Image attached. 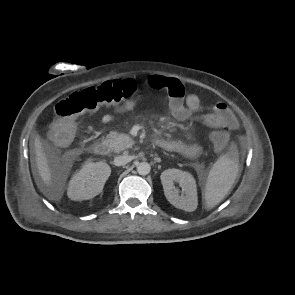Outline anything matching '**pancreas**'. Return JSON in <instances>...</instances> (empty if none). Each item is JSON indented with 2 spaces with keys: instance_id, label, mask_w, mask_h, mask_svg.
Returning a JSON list of instances; mask_svg holds the SVG:
<instances>
[{
  "instance_id": "1",
  "label": "pancreas",
  "mask_w": 295,
  "mask_h": 295,
  "mask_svg": "<svg viewBox=\"0 0 295 295\" xmlns=\"http://www.w3.org/2000/svg\"><path fill=\"white\" fill-rule=\"evenodd\" d=\"M106 141L115 152L124 151L135 143L129 135L115 131H111L106 136Z\"/></svg>"
}]
</instances>
